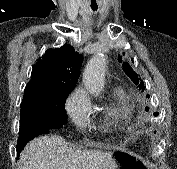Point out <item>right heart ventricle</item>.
<instances>
[{"label":"right heart ventricle","mask_w":177,"mask_h":169,"mask_svg":"<svg viewBox=\"0 0 177 169\" xmlns=\"http://www.w3.org/2000/svg\"><path fill=\"white\" fill-rule=\"evenodd\" d=\"M132 115V104L128 96L118 91L115 103L105 110L106 122L108 126L116 127L130 120Z\"/></svg>","instance_id":"e07e8e85"}]
</instances>
